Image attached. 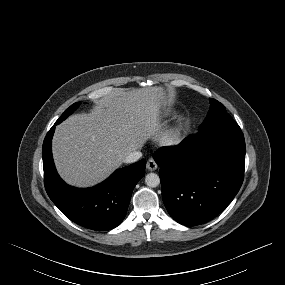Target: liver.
I'll use <instances>...</instances> for the list:
<instances>
[{
    "mask_svg": "<svg viewBox=\"0 0 285 285\" xmlns=\"http://www.w3.org/2000/svg\"><path fill=\"white\" fill-rule=\"evenodd\" d=\"M169 98L153 86L119 90L95 101L90 113L75 114L56 127L53 157L65 182L90 187L119 168L159 131L160 111Z\"/></svg>",
    "mask_w": 285,
    "mask_h": 285,
    "instance_id": "6515ba94",
    "label": "liver"
}]
</instances>
